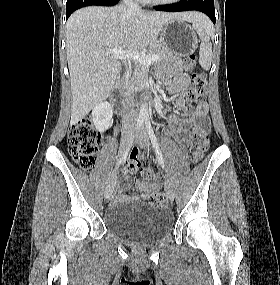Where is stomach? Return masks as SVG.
I'll list each match as a JSON object with an SVG mask.
<instances>
[{
    "mask_svg": "<svg viewBox=\"0 0 280 285\" xmlns=\"http://www.w3.org/2000/svg\"><path fill=\"white\" fill-rule=\"evenodd\" d=\"M160 42L172 53L188 56L198 47V38L193 29L182 20H170L160 32Z\"/></svg>",
    "mask_w": 280,
    "mask_h": 285,
    "instance_id": "0dacf381",
    "label": "stomach"
}]
</instances>
